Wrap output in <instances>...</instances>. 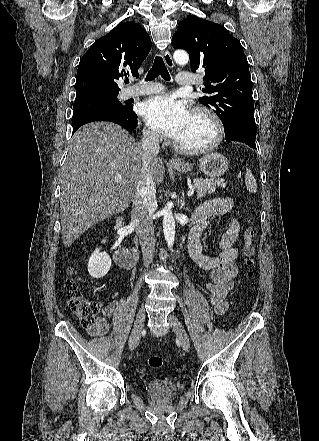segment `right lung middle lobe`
<instances>
[{
    "label": "right lung middle lobe",
    "mask_w": 319,
    "mask_h": 441,
    "mask_svg": "<svg viewBox=\"0 0 319 441\" xmlns=\"http://www.w3.org/2000/svg\"><path fill=\"white\" fill-rule=\"evenodd\" d=\"M98 111H110L128 117L132 113V107L122 105L117 96L76 100L73 105L72 118Z\"/></svg>",
    "instance_id": "dd1d6c3e"
}]
</instances>
